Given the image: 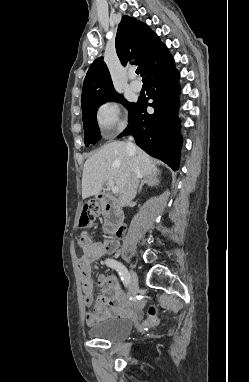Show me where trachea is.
<instances>
[{
    "instance_id": "1",
    "label": "trachea",
    "mask_w": 249,
    "mask_h": 382,
    "mask_svg": "<svg viewBox=\"0 0 249 382\" xmlns=\"http://www.w3.org/2000/svg\"><path fill=\"white\" fill-rule=\"evenodd\" d=\"M140 73V70H139V68H137V70H136V74H139Z\"/></svg>"
}]
</instances>
